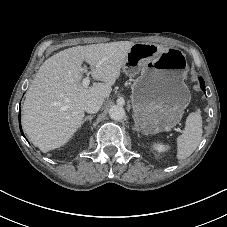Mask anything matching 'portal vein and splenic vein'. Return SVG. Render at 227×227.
Returning a JSON list of instances; mask_svg holds the SVG:
<instances>
[{
	"instance_id": "18ae733b",
	"label": "portal vein and splenic vein",
	"mask_w": 227,
	"mask_h": 227,
	"mask_svg": "<svg viewBox=\"0 0 227 227\" xmlns=\"http://www.w3.org/2000/svg\"><path fill=\"white\" fill-rule=\"evenodd\" d=\"M97 67H99V65H97ZM89 84H90V78L89 77H85L83 79V81H82V85L84 87H87V86H89ZM177 131L180 132L181 130L180 129H177Z\"/></svg>"
}]
</instances>
